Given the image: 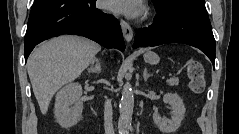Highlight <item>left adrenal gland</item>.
Segmentation results:
<instances>
[{
    "label": "left adrenal gland",
    "mask_w": 239,
    "mask_h": 134,
    "mask_svg": "<svg viewBox=\"0 0 239 134\" xmlns=\"http://www.w3.org/2000/svg\"><path fill=\"white\" fill-rule=\"evenodd\" d=\"M151 76H152V74H149L147 68H145L144 72H143V80L147 81V79Z\"/></svg>",
    "instance_id": "a2214340"
}]
</instances>
